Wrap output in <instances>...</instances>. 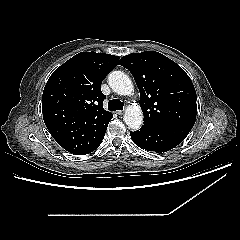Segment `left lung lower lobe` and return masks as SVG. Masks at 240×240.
Masks as SVG:
<instances>
[{"label":"left lung lower lobe","instance_id":"left-lung-lower-lobe-1","mask_svg":"<svg viewBox=\"0 0 240 240\" xmlns=\"http://www.w3.org/2000/svg\"><path fill=\"white\" fill-rule=\"evenodd\" d=\"M192 127L166 126L154 127L143 125L138 131L130 132L133 142L147 151L162 153L180 144Z\"/></svg>","mask_w":240,"mask_h":240}]
</instances>
